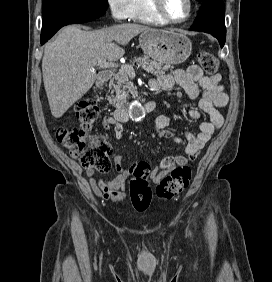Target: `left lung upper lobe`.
Segmentation results:
<instances>
[{
	"instance_id": "obj_1",
	"label": "left lung upper lobe",
	"mask_w": 272,
	"mask_h": 282,
	"mask_svg": "<svg viewBox=\"0 0 272 282\" xmlns=\"http://www.w3.org/2000/svg\"><path fill=\"white\" fill-rule=\"evenodd\" d=\"M197 1H199V2H206V1H209V0H197Z\"/></svg>"
}]
</instances>
